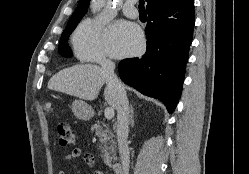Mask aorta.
<instances>
[{"instance_id":"aorta-1","label":"aorta","mask_w":249,"mask_h":174,"mask_svg":"<svg viewBox=\"0 0 249 174\" xmlns=\"http://www.w3.org/2000/svg\"><path fill=\"white\" fill-rule=\"evenodd\" d=\"M105 0H92L91 1V9L93 13L100 11V9L104 6Z\"/></svg>"}]
</instances>
